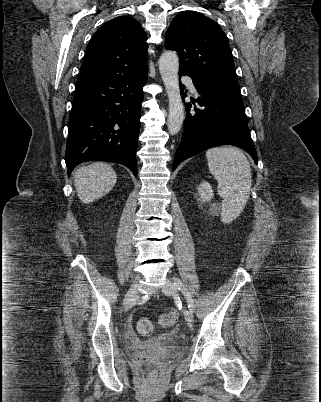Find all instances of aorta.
Instances as JSON below:
<instances>
[{
	"instance_id": "1",
	"label": "aorta",
	"mask_w": 321,
	"mask_h": 402,
	"mask_svg": "<svg viewBox=\"0 0 321 402\" xmlns=\"http://www.w3.org/2000/svg\"><path fill=\"white\" fill-rule=\"evenodd\" d=\"M159 71L169 100L168 131L177 134L184 121V106L179 88V58L175 51H165L159 59Z\"/></svg>"
}]
</instances>
